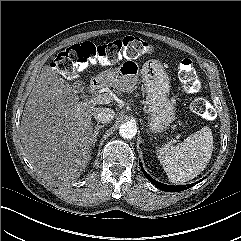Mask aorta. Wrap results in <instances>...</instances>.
<instances>
[{
  "instance_id": "1",
  "label": "aorta",
  "mask_w": 241,
  "mask_h": 241,
  "mask_svg": "<svg viewBox=\"0 0 241 241\" xmlns=\"http://www.w3.org/2000/svg\"><path fill=\"white\" fill-rule=\"evenodd\" d=\"M137 133V127L132 122H126L119 127V134L125 139L133 138Z\"/></svg>"
}]
</instances>
